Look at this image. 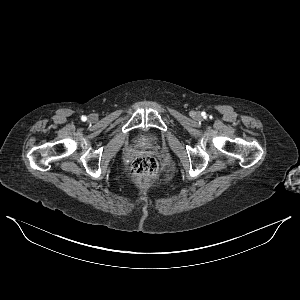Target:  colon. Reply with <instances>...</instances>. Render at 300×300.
<instances>
[{"mask_svg":"<svg viewBox=\"0 0 300 300\" xmlns=\"http://www.w3.org/2000/svg\"><path fill=\"white\" fill-rule=\"evenodd\" d=\"M159 174L157 160L150 155L139 156L134 159L130 167V175L140 184L154 181Z\"/></svg>","mask_w":300,"mask_h":300,"instance_id":"1","label":"colon"}]
</instances>
